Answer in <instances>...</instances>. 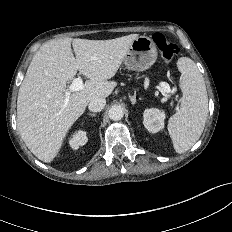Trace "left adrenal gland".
Here are the masks:
<instances>
[{"instance_id":"obj_1","label":"left adrenal gland","mask_w":232,"mask_h":232,"mask_svg":"<svg viewBox=\"0 0 232 232\" xmlns=\"http://www.w3.org/2000/svg\"><path fill=\"white\" fill-rule=\"evenodd\" d=\"M131 102H132V105H135L136 104V95H133V96H129Z\"/></svg>"}]
</instances>
